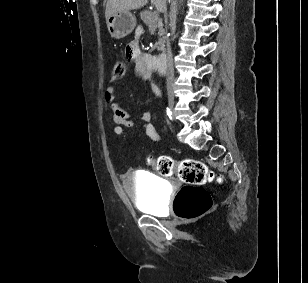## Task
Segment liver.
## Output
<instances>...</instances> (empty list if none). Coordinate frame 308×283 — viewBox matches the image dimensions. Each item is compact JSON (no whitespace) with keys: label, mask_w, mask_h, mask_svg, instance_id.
<instances>
[{"label":"liver","mask_w":308,"mask_h":283,"mask_svg":"<svg viewBox=\"0 0 308 283\" xmlns=\"http://www.w3.org/2000/svg\"><path fill=\"white\" fill-rule=\"evenodd\" d=\"M148 0H107L105 17L106 20L116 12L139 9L145 6ZM159 10L164 11L166 0H151Z\"/></svg>","instance_id":"6515ba94"}]
</instances>
